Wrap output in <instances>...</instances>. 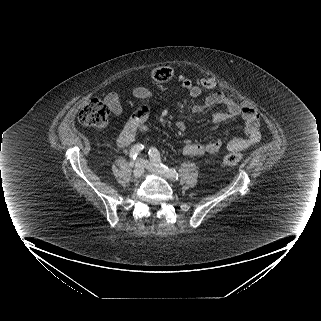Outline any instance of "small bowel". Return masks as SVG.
Listing matches in <instances>:
<instances>
[{"label":"small bowel","instance_id":"c3829d8e","mask_svg":"<svg viewBox=\"0 0 321 321\" xmlns=\"http://www.w3.org/2000/svg\"><path fill=\"white\" fill-rule=\"evenodd\" d=\"M183 88L191 97H199L202 89L194 84L190 79L185 78L182 81ZM133 94L138 98H150L149 92L143 87H136ZM110 111L113 115L119 117L122 114V106L119 96L116 93H108L105 97ZM224 104L226 110L218 111L213 114V119L217 122L227 121L233 118L241 117L244 121V137L233 138L226 143L229 151H241L252 145L257 144L262 136L260 119L258 112L251 106H241L238 103L228 99L219 91L208 95L203 103L195 104L192 107V113L201 114L205 109L215 105ZM147 110L141 109L133 114L127 121L124 129L117 139V144L121 148L129 147L137 138L138 134L147 129ZM176 126L179 130L185 129L184 121L178 120ZM222 147V142L218 139L211 140L205 144L191 143L180 149V154L188 157H198L205 154L217 152Z\"/></svg>","mask_w":321,"mask_h":321}]
</instances>
